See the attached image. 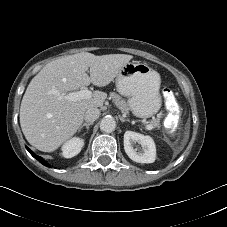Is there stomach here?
<instances>
[{
	"label": "stomach",
	"mask_w": 227,
	"mask_h": 227,
	"mask_svg": "<svg viewBox=\"0 0 227 227\" xmlns=\"http://www.w3.org/2000/svg\"><path fill=\"white\" fill-rule=\"evenodd\" d=\"M160 75L145 63L125 64L116 76V89L128 97V106L138 118H149L161 108Z\"/></svg>",
	"instance_id": "stomach-1"
}]
</instances>
